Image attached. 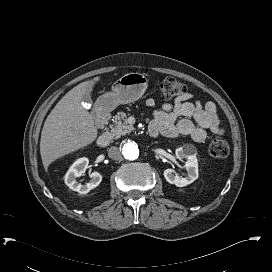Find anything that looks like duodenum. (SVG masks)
<instances>
[{"label": "duodenum", "mask_w": 272, "mask_h": 272, "mask_svg": "<svg viewBox=\"0 0 272 272\" xmlns=\"http://www.w3.org/2000/svg\"><path fill=\"white\" fill-rule=\"evenodd\" d=\"M93 116L101 125H106L110 120V113H109V105L105 104L100 107H97L94 112ZM148 135L151 138H156L159 135V129L157 125L150 124L148 128ZM111 138L110 135L107 133L101 134L97 139V145L101 148L106 147L110 144Z\"/></svg>", "instance_id": "obj_1"}]
</instances>
